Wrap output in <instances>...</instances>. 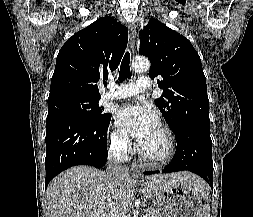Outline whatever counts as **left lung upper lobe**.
Returning <instances> with one entry per match:
<instances>
[{"label":"left lung upper lobe","mask_w":253,"mask_h":217,"mask_svg":"<svg viewBox=\"0 0 253 217\" xmlns=\"http://www.w3.org/2000/svg\"><path fill=\"white\" fill-rule=\"evenodd\" d=\"M139 52L149 58V76H161L163 94L155 100L174 132L185 121L210 124L206 78L191 42L157 19L141 31Z\"/></svg>","instance_id":"5c2ea615"}]
</instances>
